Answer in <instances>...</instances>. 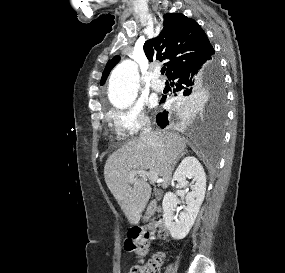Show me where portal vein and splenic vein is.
Wrapping results in <instances>:
<instances>
[{
	"label": "portal vein and splenic vein",
	"mask_w": 285,
	"mask_h": 273,
	"mask_svg": "<svg viewBox=\"0 0 285 273\" xmlns=\"http://www.w3.org/2000/svg\"><path fill=\"white\" fill-rule=\"evenodd\" d=\"M136 176L143 177V178L147 177V178H149V180L151 182H157L158 181V174L156 172H154V171L147 172L145 170H133V171H131V173L128 177V181L131 183L134 182V179Z\"/></svg>",
	"instance_id": "18ae733b"
}]
</instances>
